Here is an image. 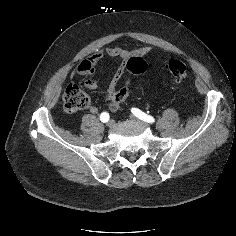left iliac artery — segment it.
<instances>
[{
	"instance_id": "left-iliac-artery-1",
	"label": "left iliac artery",
	"mask_w": 236,
	"mask_h": 236,
	"mask_svg": "<svg viewBox=\"0 0 236 236\" xmlns=\"http://www.w3.org/2000/svg\"><path fill=\"white\" fill-rule=\"evenodd\" d=\"M132 113L138 117L139 119L145 121V122H148V123H154L155 122V119L150 116V115H147L146 113L142 112L141 110L137 109V108H132Z\"/></svg>"
}]
</instances>
